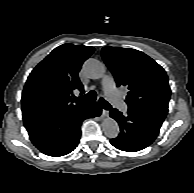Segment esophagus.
<instances>
[{
	"label": "esophagus",
	"instance_id": "1",
	"mask_svg": "<svg viewBox=\"0 0 194 193\" xmlns=\"http://www.w3.org/2000/svg\"><path fill=\"white\" fill-rule=\"evenodd\" d=\"M102 115H103L104 117H108V116H109V111L103 109V110H102Z\"/></svg>",
	"mask_w": 194,
	"mask_h": 193
}]
</instances>
